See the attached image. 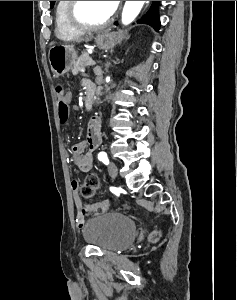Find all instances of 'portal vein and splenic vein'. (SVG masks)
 I'll return each mask as SVG.
<instances>
[{"label":"portal vein and splenic vein","instance_id":"18ae733b","mask_svg":"<svg viewBox=\"0 0 237 300\" xmlns=\"http://www.w3.org/2000/svg\"><path fill=\"white\" fill-rule=\"evenodd\" d=\"M86 65L92 66V65H94V61L90 60L89 62H86Z\"/></svg>","mask_w":237,"mask_h":300}]
</instances>
